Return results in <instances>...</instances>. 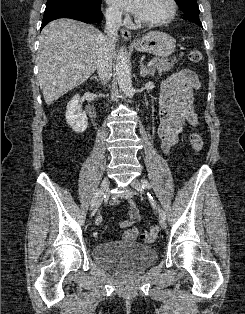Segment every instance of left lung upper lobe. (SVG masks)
Returning a JSON list of instances; mask_svg holds the SVG:
<instances>
[{
	"label": "left lung upper lobe",
	"instance_id": "1",
	"mask_svg": "<svg viewBox=\"0 0 245 314\" xmlns=\"http://www.w3.org/2000/svg\"><path fill=\"white\" fill-rule=\"evenodd\" d=\"M180 9L184 12L183 18L202 26L199 19V7L197 0H175Z\"/></svg>",
	"mask_w": 245,
	"mask_h": 314
}]
</instances>
